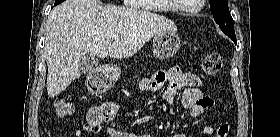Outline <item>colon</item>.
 <instances>
[{"instance_id": "1", "label": "colon", "mask_w": 280, "mask_h": 137, "mask_svg": "<svg viewBox=\"0 0 280 137\" xmlns=\"http://www.w3.org/2000/svg\"><path fill=\"white\" fill-rule=\"evenodd\" d=\"M222 57L219 53H209L202 61L201 70L207 76L217 75L222 68ZM55 115L60 119L70 117L74 112V105L65 98H58L54 102ZM229 124L222 123L216 129L210 130L211 137H227Z\"/></svg>"}]
</instances>
